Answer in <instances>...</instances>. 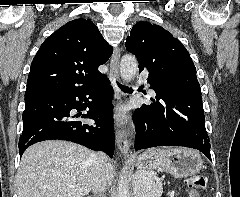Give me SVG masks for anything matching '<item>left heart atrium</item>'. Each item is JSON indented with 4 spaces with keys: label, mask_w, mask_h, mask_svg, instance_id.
Listing matches in <instances>:
<instances>
[{
    "label": "left heart atrium",
    "mask_w": 240,
    "mask_h": 197,
    "mask_svg": "<svg viewBox=\"0 0 240 197\" xmlns=\"http://www.w3.org/2000/svg\"><path fill=\"white\" fill-rule=\"evenodd\" d=\"M119 117H123V115L121 114V115H119Z\"/></svg>",
    "instance_id": "1"
}]
</instances>
